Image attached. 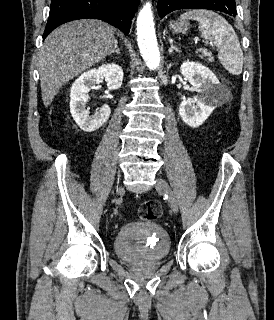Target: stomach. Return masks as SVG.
<instances>
[{"instance_id": "obj_1", "label": "stomach", "mask_w": 274, "mask_h": 320, "mask_svg": "<svg viewBox=\"0 0 274 320\" xmlns=\"http://www.w3.org/2000/svg\"><path fill=\"white\" fill-rule=\"evenodd\" d=\"M189 26L187 20H177V22H171L170 30L173 34H187Z\"/></svg>"}]
</instances>
